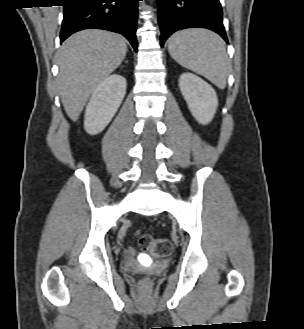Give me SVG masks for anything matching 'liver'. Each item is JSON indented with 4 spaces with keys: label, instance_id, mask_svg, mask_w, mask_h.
Here are the masks:
<instances>
[{
    "label": "liver",
    "instance_id": "obj_1",
    "mask_svg": "<svg viewBox=\"0 0 304 329\" xmlns=\"http://www.w3.org/2000/svg\"><path fill=\"white\" fill-rule=\"evenodd\" d=\"M126 53L121 35L99 29L79 31L63 43L58 56V85L71 120L79 118L90 95L122 63Z\"/></svg>",
    "mask_w": 304,
    "mask_h": 329
}]
</instances>
